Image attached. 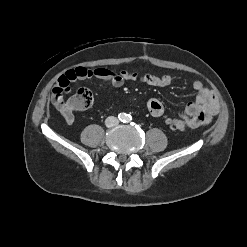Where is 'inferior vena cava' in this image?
<instances>
[{"label":"inferior vena cava","mask_w":247,"mask_h":247,"mask_svg":"<svg viewBox=\"0 0 247 247\" xmlns=\"http://www.w3.org/2000/svg\"><path fill=\"white\" fill-rule=\"evenodd\" d=\"M118 123H119L118 119L116 117H114V116H109L105 120V125L107 127L116 126V125H118Z\"/></svg>","instance_id":"inferior-vena-cava-1"}]
</instances>
